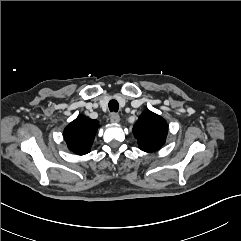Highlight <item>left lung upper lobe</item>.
Instances as JSON below:
<instances>
[{
    "instance_id": "left-lung-upper-lobe-1",
    "label": "left lung upper lobe",
    "mask_w": 241,
    "mask_h": 241,
    "mask_svg": "<svg viewBox=\"0 0 241 241\" xmlns=\"http://www.w3.org/2000/svg\"><path fill=\"white\" fill-rule=\"evenodd\" d=\"M168 133L166 121L159 115L144 111L133 127V134L139 148L145 152H153L162 147Z\"/></svg>"
}]
</instances>
